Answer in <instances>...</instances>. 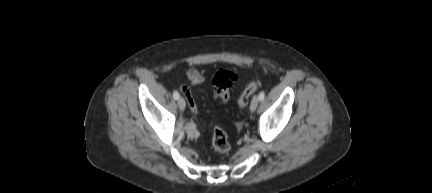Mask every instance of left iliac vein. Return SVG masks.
<instances>
[{"instance_id":"1","label":"left iliac vein","mask_w":432,"mask_h":193,"mask_svg":"<svg viewBox=\"0 0 432 193\" xmlns=\"http://www.w3.org/2000/svg\"><path fill=\"white\" fill-rule=\"evenodd\" d=\"M258 104H259V98L257 96H254L250 104V110L255 111L258 107Z\"/></svg>"}]
</instances>
